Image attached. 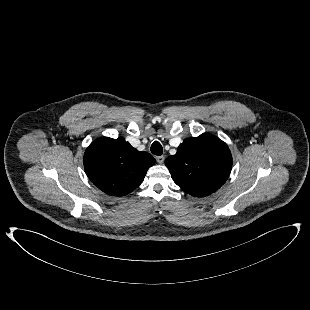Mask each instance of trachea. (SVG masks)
Here are the masks:
<instances>
[{
	"label": "trachea",
	"mask_w": 310,
	"mask_h": 310,
	"mask_svg": "<svg viewBox=\"0 0 310 310\" xmlns=\"http://www.w3.org/2000/svg\"><path fill=\"white\" fill-rule=\"evenodd\" d=\"M151 153L154 155H162L163 148L162 145L158 141H154L151 145Z\"/></svg>",
	"instance_id": "obj_1"
}]
</instances>
